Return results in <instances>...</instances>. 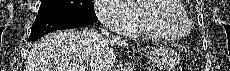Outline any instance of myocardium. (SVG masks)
<instances>
[{
  "label": "myocardium",
  "instance_id": "1",
  "mask_svg": "<svg viewBox=\"0 0 230 71\" xmlns=\"http://www.w3.org/2000/svg\"><path fill=\"white\" fill-rule=\"evenodd\" d=\"M179 0H148L141 5L144 19L158 34L168 39H182L190 34L192 22L187 12L178 8Z\"/></svg>",
  "mask_w": 230,
  "mask_h": 71
}]
</instances>
